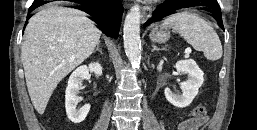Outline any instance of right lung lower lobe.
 I'll return each mask as SVG.
<instances>
[{
  "mask_svg": "<svg viewBox=\"0 0 257 130\" xmlns=\"http://www.w3.org/2000/svg\"><path fill=\"white\" fill-rule=\"evenodd\" d=\"M43 4H45V2L34 0L29 8V12H32ZM84 6L86 10L83 11L91 15L89 18L98 24V28L102 30L103 33L111 37H118L123 13V7L118 2L113 0H97Z\"/></svg>",
  "mask_w": 257,
  "mask_h": 130,
  "instance_id": "obj_1",
  "label": "right lung lower lobe"
}]
</instances>
